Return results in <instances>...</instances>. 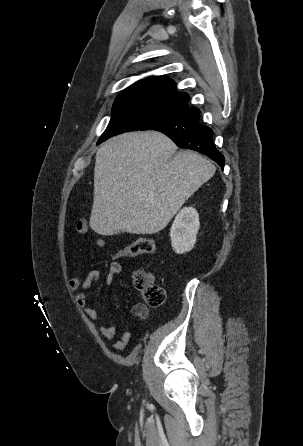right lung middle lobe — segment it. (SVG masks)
I'll return each mask as SVG.
<instances>
[{"instance_id": "obj_1", "label": "right lung middle lobe", "mask_w": 303, "mask_h": 446, "mask_svg": "<svg viewBox=\"0 0 303 446\" xmlns=\"http://www.w3.org/2000/svg\"><path fill=\"white\" fill-rule=\"evenodd\" d=\"M188 106V99H173L163 110H151L143 107L113 106L109 125L99 138L97 144L106 139L128 131L140 130L146 124L161 116L176 112Z\"/></svg>"}]
</instances>
